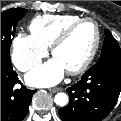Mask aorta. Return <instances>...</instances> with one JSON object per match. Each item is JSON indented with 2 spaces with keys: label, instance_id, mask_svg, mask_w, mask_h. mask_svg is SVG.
Segmentation results:
<instances>
[{
  "label": "aorta",
  "instance_id": "aorta-1",
  "mask_svg": "<svg viewBox=\"0 0 121 121\" xmlns=\"http://www.w3.org/2000/svg\"><path fill=\"white\" fill-rule=\"evenodd\" d=\"M54 102L60 106V107H64L67 105L68 103V96L63 93V92H60V93H57L55 95V98H54Z\"/></svg>",
  "mask_w": 121,
  "mask_h": 121
}]
</instances>
